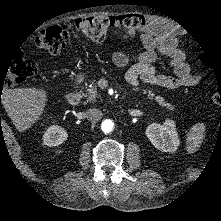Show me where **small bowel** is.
Returning a JSON list of instances; mask_svg holds the SVG:
<instances>
[{
	"instance_id": "1",
	"label": "small bowel",
	"mask_w": 221,
	"mask_h": 221,
	"mask_svg": "<svg viewBox=\"0 0 221 221\" xmlns=\"http://www.w3.org/2000/svg\"><path fill=\"white\" fill-rule=\"evenodd\" d=\"M140 40L144 51L132 57L123 52L112 53V62L117 67L132 65L125 74L126 81L133 87L140 84L177 89L182 86H194L199 83L200 75L192 72V65L186 62L184 52L178 48V39L170 25L154 18L147 17L146 25L140 29ZM125 33L122 39H127ZM158 54L164 56L174 69V76L156 72L153 63Z\"/></svg>"
}]
</instances>
